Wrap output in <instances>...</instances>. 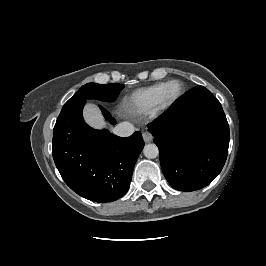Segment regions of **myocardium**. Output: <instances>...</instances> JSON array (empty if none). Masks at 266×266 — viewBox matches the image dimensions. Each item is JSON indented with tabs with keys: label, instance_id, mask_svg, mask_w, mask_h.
I'll return each instance as SVG.
<instances>
[{
	"label": "myocardium",
	"instance_id": "1",
	"mask_svg": "<svg viewBox=\"0 0 266 266\" xmlns=\"http://www.w3.org/2000/svg\"><path fill=\"white\" fill-rule=\"evenodd\" d=\"M172 85H177L179 87V91L174 96H168V89ZM183 93V85L178 80H172L166 83L165 88L162 92L160 103L158 106L159 110H164L170 107Z\"/></svg>",
	"mask_w": 266,
	"mask_h": 266
}]
</instances>
